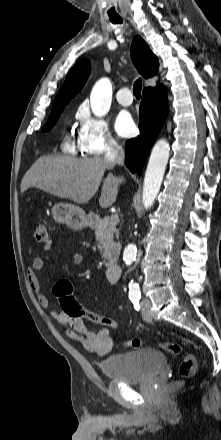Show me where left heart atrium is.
<instances>
[{
  "label": "left heart atrium",
  "mask_w": 221,
  "mask_h": 440,
  "mask_svg": "<svg viewBox=\"0 0 221 440\" xmlns=\"http://www.w3.org/2000/svg\"><path fill=\"white\" fill-rule=\"evenodd\" d=\"M135 123L127 112L118 115L115 121V129L120 136L129 137L135 132Z\"/></svg>",
  "instance_id": "left-heart-atrium-1"
}]
</instances>
